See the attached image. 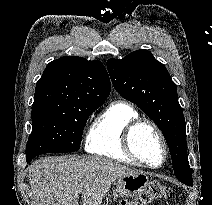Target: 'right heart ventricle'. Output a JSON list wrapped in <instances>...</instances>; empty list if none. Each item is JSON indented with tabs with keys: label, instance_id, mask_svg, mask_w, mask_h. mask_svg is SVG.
I'll return each instance as SVG.
<instances>
[{
	"label": "right heart ventricle",
	"instance_id": "right-heart-ventricle-1",
	"mask_svg": "<svg viewBox=\"0 0 212 205\" xmlns=\"http://www.w3.org/2000/svg\"><path fill=\"white\" fill-rule=\"evenodd\" d=\"M139 118L136 109L122 101L111 103L94 120L86 136L87 152L129 164H137L125 151L126 127Z\"/></svg>",
	"mask_w": 212,
	"mask_h": 205
}]
</instances>
